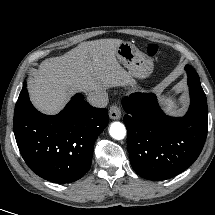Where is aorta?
I'll return each mask as SVG.
<instances>
[{
    "label": "aorta",
    "instance_id": "aorta-1",
    "mask_svg": "<svg viewBox=\"0 0 215 215\" xmlns=\"http://www.w3.org/2000/svg\"><path fill=\"white\" fill-rule=\"evenodd\" d=\"M109 133L112 138L116 140H122L126 136V128L120 122H113L110 125Z\"/></svg>",
    "mask_w": 215,
    "mask_h": 215
}]
</instances>
